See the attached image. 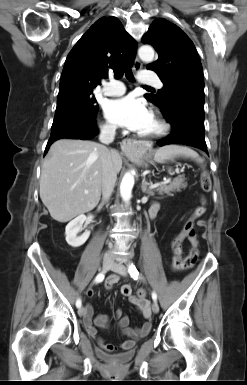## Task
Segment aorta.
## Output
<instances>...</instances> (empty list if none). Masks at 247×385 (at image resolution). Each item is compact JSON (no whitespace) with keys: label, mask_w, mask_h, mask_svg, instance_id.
<instances>
[{"label":"aorta","mask_w":247,"mask_h":385,"mask_svg":"<svg viewBox=\"0 0 247 385\" xmlns=\"http://www.w3.org/2000/svg\"><path fill=\"white\" fill-rule=\"evenodd\" d=\"M138 55L144 62H151L154 59V49L149 45H144L139 48ZM134 186V176L131 172L124 175L120 184V194L125 203H129L132 197V189Z\"/></svg>","instance_id":"aorta-1"}]
</instances>
